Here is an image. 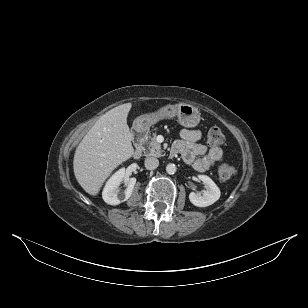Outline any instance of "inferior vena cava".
Instances as JSON below:
<instances>
[{"label": "inferior vena cava", "mask_w": 308, "mask_h": 308, "mask_svg": "<svg viewBox=\"0 0 308 308\" xmlns=\"http://www.w3.org/2000/svg\"><path fill=\"white\" fill-rule=\"evenodd\" d=\"M144 165L149 170H154L158 167L159 161L155 157H147L145 159Z\"/></svg>", "instance_id": "602c4592"}]
</instances>
